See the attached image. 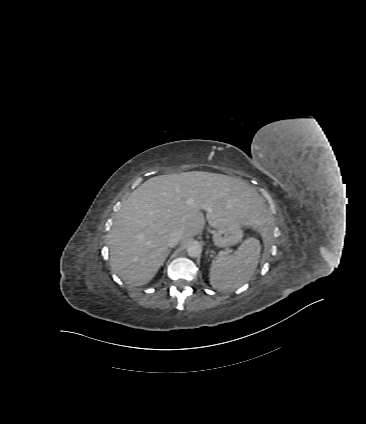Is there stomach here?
Instances as JSON below:
<instances>
[{"label": "stomach", "instance_id": "stomach-1", "mask_svg": "<svg viewBox=\"0 0 366 424\" xmlns=\"http://www.w3.org/2000/svg\"><path fill=\"white\" fill-rule=\"evenodd\" d=\"M243 236L241 225L233 223L232 226L217 228L213 233V242L215 246L220 248L235 245Z\"/></svg>", "mask_w": 366, "mask_h": 424}]
</instances>
